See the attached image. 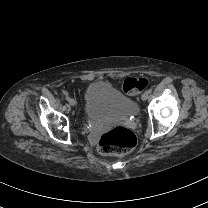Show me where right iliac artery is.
<instances>
[{
	"instance_id": "obj_1",
	"label": "right iliac artery",
	"mask_w": 208,
	"mask_h": 208,
	"mask_svg": "<svg viewBox=\"0 0 208 208\" xmlns=\"http://www.w3.org/2000/svg\"><path fill=\"white\" fill-rule=\"evenodd\" d=\"M70 99H71V98H70L69 96H66V100H67V101H70Z\"/></svg>"
}]
</instances>
